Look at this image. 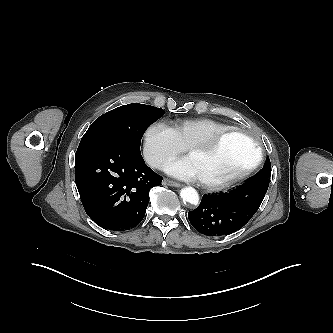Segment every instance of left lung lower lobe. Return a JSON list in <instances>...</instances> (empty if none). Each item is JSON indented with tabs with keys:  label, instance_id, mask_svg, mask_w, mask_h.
I'll list each match as a JSON object with an SVG mask.
<instances>
[{
	"label": "left lung lower lobe",
	"instance_id": "left-lung-lower-lobe-1",
	"mask_svg": "<svg viewBox=\"0 0 333 333\" xmlns=\"http://www.w3.org/2000/svg\"><path fill=\"white\" fill-rule=\"evenodd\" d=\"M268 186V180H258L245 182L227 193L204 195L200 205L188 213L189 221L206 236L231 234L253 217Z\"/></svg>",
	"mask_w": 333,
	"mask_h": 333
}]
</instances>
